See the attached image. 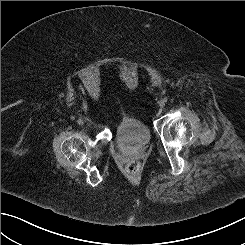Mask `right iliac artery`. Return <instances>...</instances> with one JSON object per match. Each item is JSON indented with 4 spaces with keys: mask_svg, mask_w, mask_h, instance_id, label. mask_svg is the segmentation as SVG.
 Here are the masks:
<instances>
[{
    "mask_svg": "<svg viewBox=\"0 0 245 245\" xmlns=\"http://www.w3.org/2000/svg\"><path fill=\"white\" fill-rule=\"evenodd\" d=\"M70 119H71L72 121H74V120H75V116H71Z\"/></svg>",
    "mask_w": 245,
    "mask_h": 245,
    "instance_id": "right-iliac-artery-1",
    "label": "right iliac artery"
}]
</instances>
